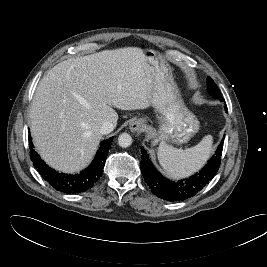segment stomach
Instances as JSON below:
<instances>
[{
  "instance_id": "stomach-1",
  "label": "stomach",
  "mask_w": 267,
  "mask_h": 267,
  "mask_svg": "<svg viewBox=\"0 0 267 267\" xmlns=\"http://www.w3.org/2000/svg\"><path fill=\"white\" fill-rule=\"evenodd\" d=\"M143 52L151 77V105L161 121L158 131L152 134L153 142L186 143L198 132L200 123L186 107L168 61L154 50Z\"/></svg>"
}]
</instances>
